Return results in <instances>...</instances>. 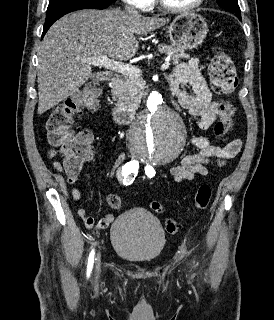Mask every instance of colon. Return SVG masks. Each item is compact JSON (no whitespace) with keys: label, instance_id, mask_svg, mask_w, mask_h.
<instances>
[{"label":"colon","instance_id":"obj_1","mask_svg":"<svg viewBox=\"0 0 274 320\" xmlns=\"http://www.w3.org/2000/svg\"><path fill=\"white\" fill-rule=\"evenodd\" d=\"M208 71L216 93L223 97L233 93L237 85L236 67L227 51L216 49L213 52ZM97 95V87L93 85L84 86L72 98L53 109L47 122L49 141L60 145L64 158V170L66 175L70 177L76 176L83 163L91 157L94 143L92 132L86 130L73 131L71 126L81 110L96 107ZM232 114V105L223 101L217 123L219 136L224 135L231 128ZM211 193L209 185H201L194 196V207L197 210L206 209L211 199ZM110 205L113 209L120 210L122 208L121 198L112 195ZM149 208L159 213L164 211L163 206L154 200L149 202ZM164 225L167 233H177L178 224L173 219L167 218Z\"/></svg>","mask_w":274,"mask_h":320}]
</instances>
